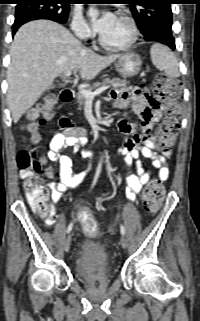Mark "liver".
<instances>
[{
  "label": "liver",
  "mask_w": 200,
  "mask_h": 321,
  "mask_svg": "<svg viewBox=\"0 0 200 321\" xmlns=\"http://www.w3.org/2000/svg\"><path fill=\"white\" fill-rule=\"evenodd\" d=\"M120 57L94 53L56 22L26 23L14 36L7 71V100L13 122L17 123L62 73L79 69L83 80H91Z\"/></svg>",
  "instance_id": "obj_1"
}]
</instances>
